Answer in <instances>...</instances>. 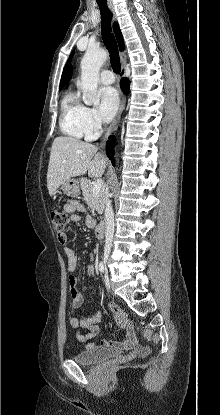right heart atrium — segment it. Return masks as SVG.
<instances>
[{"instance_id": "obj_1", "label": "right heart atrium", "mask_w": 220, "mask_h": 415, "mask_svg": "<svg viewBox=\"0 0 220 415\" xmlns=\"http://www.w3.org/2000/svg\"><path fill=\"white\" fill-rule=\"evenodd\" d=\"M84 123L87 135L95 137L102 129L101 123L96 118L94 111L91 108H84Z\"/></svg>"}]
</instances>
